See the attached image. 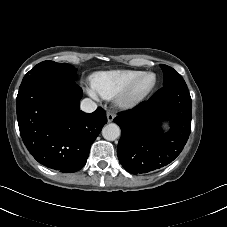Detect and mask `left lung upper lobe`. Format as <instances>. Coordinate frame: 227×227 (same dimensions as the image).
<instances>
[{"label":"left lung upper lobe","mask_w":227,"mask_h":227,"mask_svg":"<svg viewBox=\"0 0 227 227\" xmlns=\"http://www.w3.org/2000/svg\"><path fill=\"white\" fill-rule=\"evenodd\" d=\"M160 67L162 68L164 73L163 86L186 85L184 79L173 68L164 64H160Z\"/></svg>","instance_id":"1"}]
</instances>
